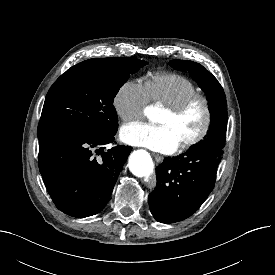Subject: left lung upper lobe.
I'll return each mask as SVG.
<instances>
[{
    "instance_id": "1",
    "label": "left lung upper lobe",
    "mask_w": 275,
    "mask_h": 275,
    "mask_svg": "<svg viewBox=\"0 0 275 275\" xmlns=\"http://www.w3.org/2000/svg\"><path fill=\"white\" fill-rule=\"evenodd\" d=\"M170 66L176 70H188L191 77L207 93L211 112L210 128L205 139L193 147L214 145L220 148L225 146L227 130L226 97L222 86L217 79L202 65L193 61L171 60Z\"/></svg>"
}]
</instances>
